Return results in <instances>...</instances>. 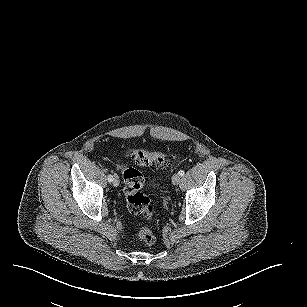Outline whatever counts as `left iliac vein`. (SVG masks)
<instances>
[{
	"instance_id": "1",
	"label": "left iliac vein",
	"mask_w": 307,
	"mask_h": 307,
	"mask_svg": "<svg viewBox=\"0 0 307 307\" xmlns=\"http://www.w3.org/2000/svg\"><path fill=\"white\" fill-rule=\"evenodd\" d=\"M180 181H181V176L178 173H175L172 177V183L174 185H179Z\"/></svg>"
}]
</instances>
